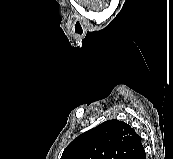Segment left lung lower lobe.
<instances>
[{
  "label": "left lung lower lobe",
  "instance_id": "obj_1",
  "mask_svg": "<svg viewBox=\"0 0 173 159\" xmlns=\"http://www.w3.org/2000/svg\"><path fill=\"white\" fill-rule=\"evenodd\" d=\"M133 159H146V153H145L144 147H142L138 151V153L134 156Z\"/></svg>",
  "mask_w": 173,
  "mask_h": 159
}]
</instances>
